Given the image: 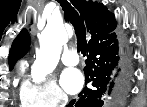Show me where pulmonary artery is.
Here are the masks:
<instances>
[{
  "mask_svg": "<svg viewBox=\"0 0 147 107\" xmlns=\"http://www.w3.org/2000/svg\"><path fill=\"white\" fill-rule=\"evenodd\" d=\"M62 62L67 66L77 65L79 62V57L76 50L68 49L62 55Z\"/></svg>",
  "mask_w": 147,
  "mask_h": 107,
  "instance_id": "obj_1",
  "label": "pulmonary artery"
}]
</instances>
